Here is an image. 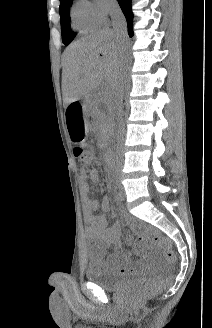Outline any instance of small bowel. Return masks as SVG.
I'll list each match as a JSON object with an SVG mask.
<instances>
[{
  "label": "small bowel",
  "instance_id": "small-bowel-1",
  "mask_svg": "<svg viewBox=\"0 0 212 328\" xmlns=\"http://www.w3.org/2000/svg\"><path fill=\"white\" fill-rule=\"evenodd\" d=\"M99 178V172L96 169H92L90 173H81L80 171L83 217L87 226L86 234L92 245L91 259L96 265L103 267L111 273L123 274L131 272L137 268L138 264L119 248L121 243L120 230L122 223L133 228L136 227V223L131 218L125 216L123 220H119L111 227H108L105 215H96L99 202L89 196L91 186L88 180L95 183L99 181ZM102 207L105 211L108 210L107 200L103 201ZM125 243L132 246L142 257H146L151 249V244L144 237L138 242H133L128 237L125 239ZM108 246H113L114 250L107 253L106 248Z\"/></svg>",
  "mask_w": 212,
  "mask_h": 328
}]
</instances>
